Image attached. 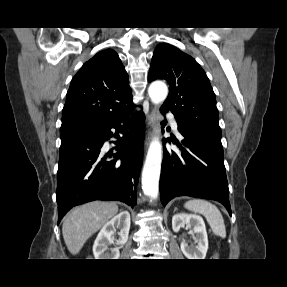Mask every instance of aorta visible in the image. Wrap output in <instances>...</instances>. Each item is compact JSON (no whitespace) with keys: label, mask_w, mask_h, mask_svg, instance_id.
Returning <instances> with one entry per match:
<instances>
[{"label":"aorta","mask_w":287,"mask_h":287,"mask_svg":"<svg viewBox=\"0 0 287 287\" xmlns=\"http://www.w3.org/2000/svg\"><path fill=\"white\" fill-rule=\"evenodd\" d=\"M148 94L154 104L162 103L167 95L168 88L163 82H153ZM162 162V145L158 137L150 143L142 171V189L145 195L156 199L159 192V178Z\"/></svg>","instance_id":"aorta-1"}]
</instances>
